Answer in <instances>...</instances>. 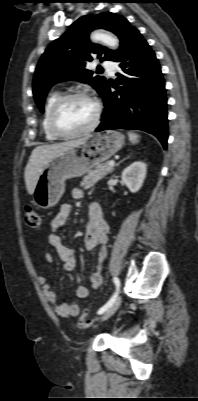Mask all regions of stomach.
Returning a JSON list of instances; mask_svg holds the SVG:
<instances>
[{
    "label": "stomach",
    "mask_w": 198,
    "mask_h": 401,
    "mask_svg": "<svg viewBox=\"0 0 198 401\" xmlns=\"http://www.w3.org/2000/svg\"><path fill=\"white\" fill-rule=\"evenodd\" d=\"M124 145V136L114 130L90 134L82 141L52 158L40 174L35 190L37 206L47 209L55 206L65 191V181L81 177L100 165Z\"/></svg>",
    "instance_id": "1"
}]
</instances>
